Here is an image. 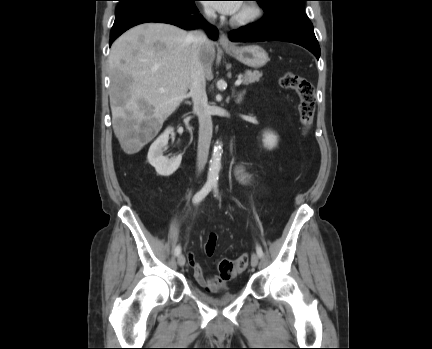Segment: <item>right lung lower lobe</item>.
Masks as SVG:
<instances>
[{"label":"right lung lower lobe","mask_w":432,"mask_h":349,"mask_svg":"<svg viewBox=\"0 0 432 349\" xmlns=\"http://www.w3.org/2000/svg\"><path fill=\"white\" fill-rule=\"evenodd\" d=\"M194 1L196 0H129L121 3L116 9L109 45L123 32L141 23L162 22L189 30L198 27L205 21L201 15H191L198 13ZM205 24L209 37L217 39V29Z\"/></svg>","instance_id":"obj_1"}]
</instances>
